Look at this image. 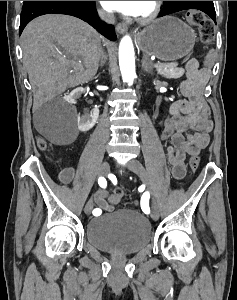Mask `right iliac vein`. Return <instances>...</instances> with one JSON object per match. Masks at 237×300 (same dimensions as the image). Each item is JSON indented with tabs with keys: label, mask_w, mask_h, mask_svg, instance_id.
Wrapping results in <instances>:
<instances>
[{
	"label": "right iliac vein",
	"mask_w": 237,
	"mask_h": 300,
	"mask_svg": "<svg viewBox=\"0 0 237 300\" xmlns=\"http://www.w3.org/2000/svg\"><path fill=\"white\" fill-rule=\"evenodd\" d=\"M109 169H110L109 163L108 162H103L102 165H101L100 171H99V175L100 176H106L109 172ZM93 207H94V200L90 199L87 202V204L84 208L85 213L90 214Z\"/></svg>",
	"instance_id": "obj_1"
}]
</instances>
